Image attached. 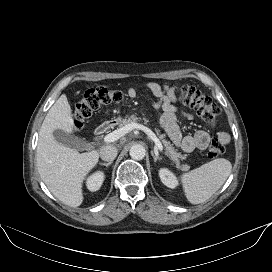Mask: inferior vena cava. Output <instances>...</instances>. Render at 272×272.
Instances as JSON below:
<instances>
[{
    "label": "inferior vena cava",
    "instance_id": "inferior-vena-cava-1",
    "mask_svg": "<svg viewBox=\"0 0 272 272\" xmlns=\"http://www.w3.org/2000/svg\"><path fill=\"white\" fill-rule=\"evenodd\" d=\"M117 154V148L112 145L102 146L100 149V157L104 161H113L116 158Z\"/></svg>",
    "mask_w": 272,
    "mask_h": 272
}]
</instances>
